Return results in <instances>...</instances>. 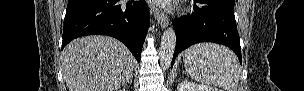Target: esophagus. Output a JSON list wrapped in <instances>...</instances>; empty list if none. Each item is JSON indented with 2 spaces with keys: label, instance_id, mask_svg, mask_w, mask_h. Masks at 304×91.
Listing matches in <instances>:
<instances>
[{
  "label": "esophagus",
  "instance_id": "esophagus-1",
  "mask_svg": "<svg viewBox=\"0 0 304 91\" xmlns=\"http://www.w3.org/2000/svg\"><path fill=\"white\" fill-rule=\"evenodd\" d=\"M150 9H151V12L153 13L158 25H160L162 28L167 27L169 24L167 15L154 5H151Z\"/></svg>",
  "mask_w": 304,
  "mask_h": 91
}]
</instances>
